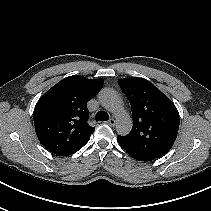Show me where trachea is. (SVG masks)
Instances as JSON below:
<instances>
[{
    "label": "trachea",
    "instance_id": "3493384b",
    "mask_svg": "<svg viewBox=\"0 0 211 211\" xmlns=\"http://www.w3.org/2000/svg\"><path fill=\"white\" fill-rule=\"evenodd\" d=\"M95 119L96 121H107L109 120V115L105 111H98Z\"/></svg>",
    "mask_w": 211,
    "mask_h": 211
}]
</instances>
